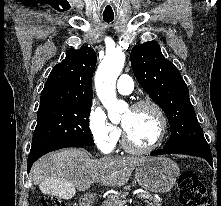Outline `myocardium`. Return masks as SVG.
<instances>
[{
  "label": "myocardium",
  "instance_id": "f54148a6",
  "mask_svg": "<svg viewBox=\"0 0 221 206\" xmlns=\"http://www.w3.org/2000/svg\"><path fill=\"white\" fill-rule=\"evenodd\" d=\"M142 107H150L157 114L158 119H159V133H158V136L155 139V141L152 144H150L149 146L137 147L131 142L126 130L123 127V146H124V148L128 152L133 153V154H138V155L148 154V153H151L154 150H156L163 142L166 132H167V126H168L164 111L158 103H156L155 101H153L151 99H142V100L134 103L130 107V110H137Z\"/></svg>",
  "mask_w": 221,
  "mask_h": 206
}]
</instances>
